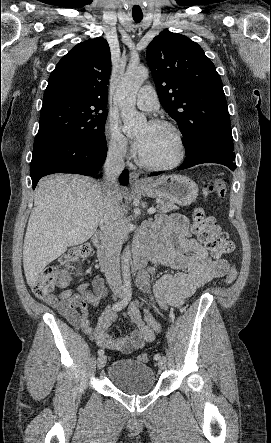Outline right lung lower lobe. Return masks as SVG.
<instances>
[{"instance_id":"right-lung-lower-lobe-1","label":"right lung lower lobe","mask_w":271,"mask_h":443,"mask_svg":"<svg viewBox=\"0 0 271 443\" xmlns=\"http://www.w3.org/2000/svg\"><path fill=\"white\" fill-rule=\"evenodd\" d=\"M107 154L105 137L91 143L63 138H50L34 147L30 174L33 189L40 178L53 173H76L94 176L102 167ZM122 184H128L129 173L120 176Z\"/></svg>"}]
</instances>
